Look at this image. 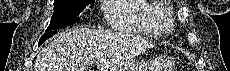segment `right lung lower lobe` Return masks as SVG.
Returning <instances> with one entry per match:
<instances>
[{
	"mask_svg": "<svg viewBox=\"0 0 230 71\" xmlns=\"http://www.w3.org/2000/svg\"><path fill=\"white\" fill-rule=\"evenodd\" d=\"M56 32H57L56 30L47 31V32L40 38L39 45H41L44 41H46L48 38H50L51 36H53Z\"/></svg>",
	"mask_w": 230,
	"mask_h": 71,
	"instance_id": "1",
	"label": "right lung lower lobe"
}]
</instances>
